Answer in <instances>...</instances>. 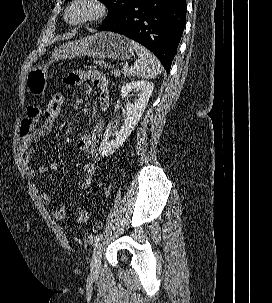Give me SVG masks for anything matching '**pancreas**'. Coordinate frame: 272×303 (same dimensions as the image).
I'll use <instances>...</instances> for the list:
<instances>
[{
    "label": "pancreas",
    "instance_id": "cf45deb5",
    "mask_svg": "<svg viewBox=\"0 0 272 303\" xmlns=\"http://www.w3.org/2000/svg\"><path fill=\"white\" fill-rule=\"evenodd\" d=\"M112 72L117 76L121 74L118 69H113ZM122 74L124 75V77H129L130 75H132V71L130 69H124Z\"/></svg>",
    "mask_w": 272,
    "mask_h": 303
}]
</instances>
